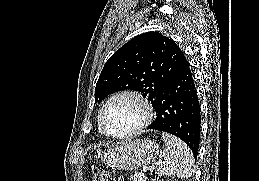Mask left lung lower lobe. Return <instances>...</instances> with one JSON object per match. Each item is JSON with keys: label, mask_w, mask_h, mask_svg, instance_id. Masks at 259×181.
Returning <instances> with one entry per match:
<instances>
[{"label": "left lung lower lobe", "mask_w": 259, "mask_h": 181, "mask_svg": "<svg viewBox=\"0 0 259 181\" xmlns=\"http://www.w3.org/2000/svg\"><path fill=\"white\" fill-rule=\"evenodd\" d=\"M176 77L165 87L155 111L156 119L147 129L168 132L183 140L195 159L200 139V105L188 61L179 49Z\"/></svg>", "instance_id": "obj_1"}]
</instances>
